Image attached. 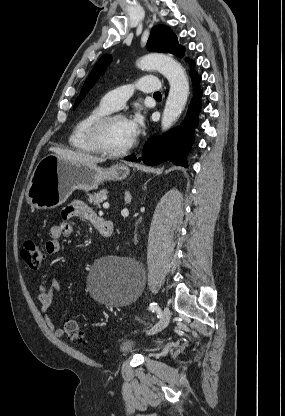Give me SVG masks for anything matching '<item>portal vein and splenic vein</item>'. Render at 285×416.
<instances>
[{"mask_svg":"<svg viewBox=\"0 0 285 416\" xmlns=\"http://www.w3.org/2000/svg\"><path fill=\"white\" fill-rule=\"evenodd\" d=\"M103 208H109L108 202H105V204H103Z\"/></svg>","mask_w":285,"mask_h":416,"instance_id":"1","label":"portal vein and splenic vein"}]
</instances>
